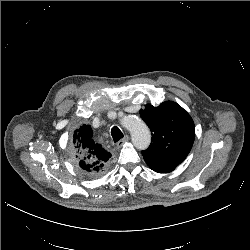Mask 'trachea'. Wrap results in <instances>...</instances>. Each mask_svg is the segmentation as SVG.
<instances>
[{
  "mask_svg": "<svg viewBox=\"0 0 250 250\" xmlns=\"http://www.w3.org/2000/svg\"><path fill=\"white\" fill-rule=\"evenodd\" d=\"M111 135H112L114 142H118L124 136L121 130L117 126H114L111 129Z\"/></svg>",
  "mask_w": 250,
  "mask_h": 250,
  "instance_id": "trachea-1",
  "label": "trachea"
}]
</instances>
